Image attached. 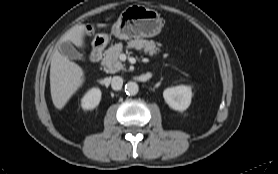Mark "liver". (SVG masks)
<instances>
[{"mask_svg":"<svg viewBox=\"0 0 278 174\" xmlns=\"http://www.w3.org/2000/svg\"><path fill=\"white\" fill-rule=\"evenodd\" d=\"M105 26V24L98 25L101 28ZM85 30L84 24L75 25L65 33L60 44L64 41H71L78 47H84ZM84 81L85 74L82 68L56 49L50 66V90L54 106L59 110L63 109Z\"/></svg>","mask_w":278,"mask_h":174,"instance_id":"obj_1","label":"liver"}]
</instances>
